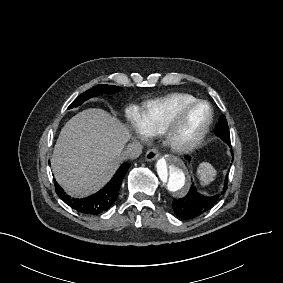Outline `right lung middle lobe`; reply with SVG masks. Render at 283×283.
<instances>
[{
    "label": "right lung middle lobe",
    "instance_id": "obj_1",
    "mask_svg": "<svg viewBox=\"0 0 283 283\" xmlns=\"http://www.w3.org/2000/svg\"><path fill=\"white\" fill-rule=\"evenodd\" d=\"M121 90H122L121 87L113 86V85H97V86H94L92 89H89L85 93H82L80 96H78L70 104L68 109L77 107V106L81 105L84 101H86L87 99L94 97V96H97L99 94H102V93L110 94V93L119 92Z\"/></svg>",
    "mask_w": 283,
    "mask_h": 283
}]
</instances>
